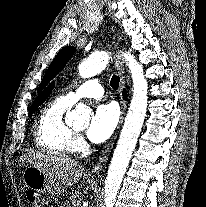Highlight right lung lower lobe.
<instances>
[{"instance_id": "1", "label": "right lung lower lobe", "mask_w": 206, "mask_h": 207, "mask_svg": "<svg viewBox=\"0 0 206 207\" xmlns=\"http://www.w3.org/2000/svg\"><path fill=\"white\" fill-rule=\"evenodd\" d=\"M123 97L125 100H127V94H126V91H123Z\"/></svg>"}]
</instances>
